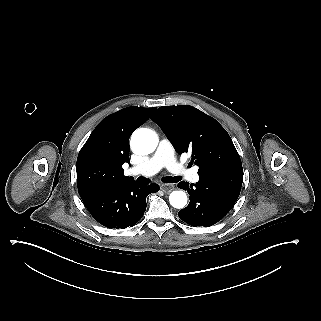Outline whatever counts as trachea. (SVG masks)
<instances>
[{"label":"trachea","instance_id":"obj_1","mask_svg":"<svg viewBox=\"0 0 321 321\" xmlns=\"http://www.w3.org/2000/svg\"><path fill=\"white\" fill-rule=\"evenodd\" d=\"M181 180L180 177H172V176H166V177H162L161 178V181L162 182H165V183H177ZM138 184H141V185H146V184H149L151 182L150 179L146 178V177H143V176H140L137 181H136Z\"/></svg>","mask_w":321,"mask_h":321}]
</instances>
